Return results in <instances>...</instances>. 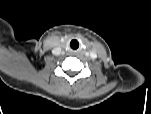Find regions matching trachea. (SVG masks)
Segmentation results:
<instances>
[{
    "instance_id": "1",
    "label": "trachea",
    "mask_w": 151,
    "mask_h": 114,
    "mask_svg": "<svg viewBox=\"0 0 151 114\" xmlns=\"http://www.w3.org/2000/svg\"><path fill=\"white\" fill-rule=\"evenodd\" d=\"M78 46H79V43H78L76 40H72V41L70 42V47H71L72 49H77Z\"/></svg>"
}]
</instances>
